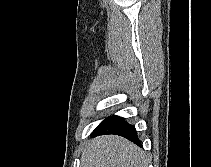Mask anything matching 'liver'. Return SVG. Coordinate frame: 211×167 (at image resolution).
Wrapping results in <instances>:
<instances>
[{
    "instance_id": "6515ba94",
    "label": "liver",
    "mask_w": 211,
    "mask_h": 167,
    "mask_svg": "<svg viewBox=\"0 0 211 167\" xmlns=\"http://www.w3.org/2000/svg\"><path fill=\"white\" fill-rule=\"evenodd\" d=\"M81 167H148L144 152L120 136H100L88 143Z\"/></svg>"
}]
</instances>
